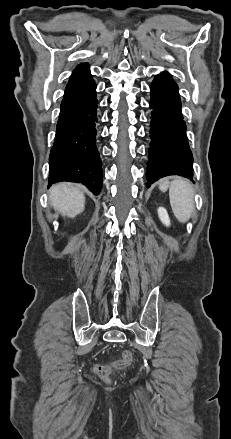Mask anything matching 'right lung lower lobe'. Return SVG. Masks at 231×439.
<instances>
[{
  "label": "right lung lower lobe",
  "instance_id": "98d812e1",
  "mask_svg": "<svg viewBox=\"0 0 231 439\" xmlns=\"http://www.w3.org/2000/svg\"><path fill=\"white\" fill-rule=\"evenodd\" d=\"M97 99L92 76L65 90L49 157V185L81 182L98 195L103 182L96 147Z\"/></svg>",
  "mask_w": 231,
  "mask_h": 439
}]
</instances>
